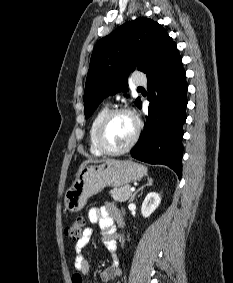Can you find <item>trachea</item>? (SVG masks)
I'll return each instance as SVG.
<instances>
[{
    "label": "trachea",
    "instance_id": "obj_1",
    "mask_svg": "<svg viewBox=\"0 0 233 283\" xmlns=\"http://www.w3.org/2000/svg\"><path fill=\"white\" fill-rule=\"evenodd\" d=\"M141 89H143L142 87H138V90H141Z\"/></svg>",
    "mask_w": 233,
    "mask_h": 283
}]
</instances>
